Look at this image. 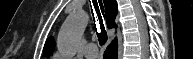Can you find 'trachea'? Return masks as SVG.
Segmentation results:
<instances>
[{"label": "trachea", "mask_w": 193, "mask_h": 59, "mask_svg": "<svg viewBox=\"0 0 193 59\" xmlns=\"http://www.w3.org/2000/svg\"><path fill=\"white\" fill-rule=\"evenodd\" d=\"M92 1H93L94 10H95V13H96V18H98L97 21H99V25H100V31L99 32H97V28H96V25H95L96 32H97V37H98L100 45H103L107 41V33H106V30H105V27H104V24H103V19H102V15L104 17V7H103L102 2H99V6H100V9H99L98 3L97 2L94 3V0H92ZM91 11H92V15H93V18H94V13H93L92 8H91ZM101 13H102V15H101ZM94 21H95V18H94Z\"/></svg>", "instance_id": "obj_1"}]
</instances>
